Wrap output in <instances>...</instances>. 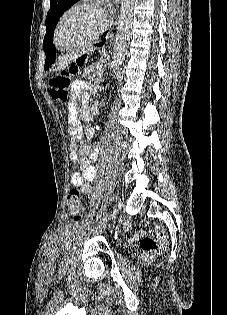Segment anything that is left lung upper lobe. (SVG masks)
Segmentation results:
<instances>
[{
  "label": "left lung upper lobe",
  "instance_id": "left-lung-upper-lobe-1",
  "mask_svg": "<svg viewBox=\"0 0 227 315\" xmlns=\"http://www.w3.org/2000/svg\"><path fill=\"white\" fill-rule=\"evenodd\" d=\"M78 0H50V10L46 17V35L43 41V49L46 53L49 46H53L51 39L54 35L53 31L62 14Z\"/></svg>",
  "mask_w": 227,
  "mask_h": 315
}]
</instances>
